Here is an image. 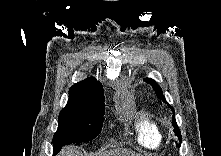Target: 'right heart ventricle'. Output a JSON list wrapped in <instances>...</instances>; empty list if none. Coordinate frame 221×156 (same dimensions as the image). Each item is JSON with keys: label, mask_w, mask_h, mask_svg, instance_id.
I'll return each mask as SVG.
<instances>
[{"label": "right heart ventricle", "mask_w": 221, "mask_h": 156, "mask_svg": "<svg viewBox=\"0 0 221 156\" xmlns=\"http://www.w3.org/2000/svg\"><path fill=\"white\" fill-rule=\"evenodd\" d=\"M138 142L147 149L162 146L165 135L159 122L150 114H141L135 124Z\"/></svg>", "instance_id": "1"}]
</instances>
